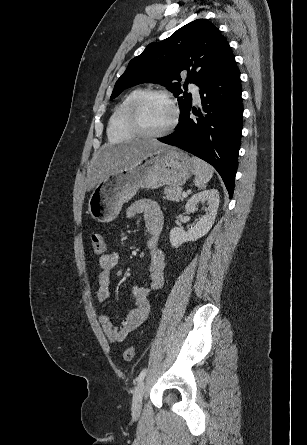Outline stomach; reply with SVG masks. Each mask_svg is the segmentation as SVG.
Segmentation results:
<instances>
[{"instance_id":"1","label":"stomach","mask_w":307,"mask_h":445,"mask_svg":"<svg viewBox=\"0 0 307 445\" xmlns=\"http://www.w3.org/2000/svg\"><path fill=\"white\" fill-rule=\"evenodd\" d=\"M191 174L193 162L186 152L171 146L158 148L131 168H119L98 182L89 198L88 210L98 223H111L139 188L182 186Z\"/></svg>"}]
</instances>
